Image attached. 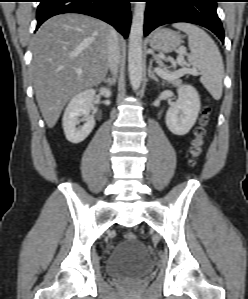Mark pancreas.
<instances>
[{
  "label": "pancreas",
  "mask_w": 248,
  "mask_h": 299,
  "mask_svg": "<svg viewBox=\"0 0 248 299\" xmlns=\"http://www.w3.org/2000/svg\"><path fill=\"white\" fill-rule=\"evenodd\" d=\"M155 60L161 67H164V69L167 70V68L163 65L161 59L158 56H155ZM163 79H165V78H163ZM165 80L175 86H178L181 83V80L179 78H167Z\"/></svg>",
  "instance_id": "1"
}]
</instances>
